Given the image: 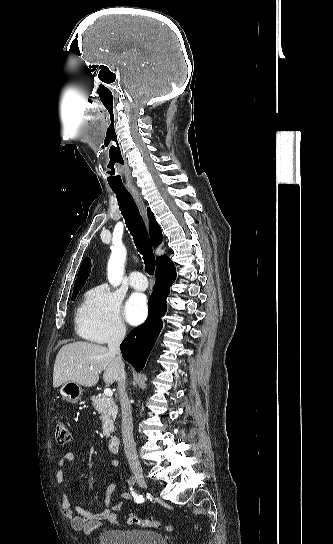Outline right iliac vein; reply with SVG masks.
<instances>
[{"mask_svg":"<svg viewBox=\"0 0 333 544\" xmlns=\"http://www.w3.org/2000/svg\"><path fill=\"white\" fill-rule=\"evenodd\" d=\"M133 474H134V477H135L137 483L139 484V486L144 488V489H147L148 486H147V483H146V481H145V479L143 477L142 471L140 469H134Z\"/></svg>","mask_w":333,"mask_h":544,"instance_id":"right-iliac-vein-1","label":"right iliac vein"}]
</instances>
